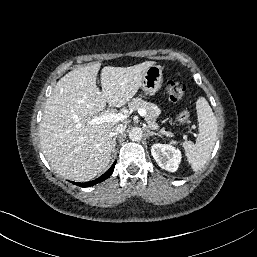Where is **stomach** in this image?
I'll list each match as a JSON object with an SVG mask.
<instances>
[{
    "instance_id": "0dacf381",
    "label": "stomach",
    "mask_w": 257,
    "mask_h": 257,
    "mask_svg": "<svg viewBox=\"0 0 257 257\" xmlns=\"http://www.w3.org/2000/svg\"><path fill=\"white\" fill-rule=\"evenodd\" d=\"M163 75L160 65L150 66L142 79L141 88L146 94L156 93L162 86Z\"/></svg>"
}]
</instances>
